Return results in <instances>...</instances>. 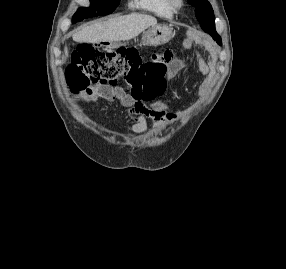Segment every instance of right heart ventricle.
<instances>
[{"label": "right heart ventricle", "mask_w": 286, "mask_h": 269, "mask_svg": "<svg viewBox=\"0 0 286 269\" xmlns=\"http://www.w3.org/2000/svg\"><path fill=\"white\" fill-rule=\"evenodd\" d=\"M129 7L163 18H170L173 15L168 0H129Z\"/></svg>", "instance_id": "right-heart-ventricle-1"}]
</instances>
